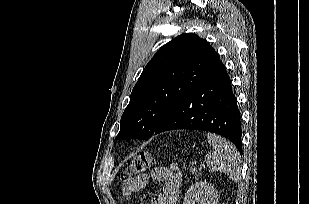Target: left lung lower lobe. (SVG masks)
<instances>
[{"instance_id":"0a47b994","label":"left lung lower lobe","mask_w":309,"mask_h":204,"mask_svg":"<svg viewBox=\"0 0 309 204\" xmlns=\"http://www.w3.org/2000/svg\"><path fill=\"white\" fill-rule=\"evenodd\" d=\"M176 129L216 133L242 153L240 110L224 65L178 102L152 135Z\"/></svg>"}]
</instances>
